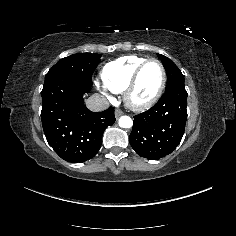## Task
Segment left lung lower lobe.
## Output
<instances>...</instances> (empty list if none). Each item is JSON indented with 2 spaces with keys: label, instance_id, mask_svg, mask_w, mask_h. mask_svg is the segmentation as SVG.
Segmentation results:
<instances>
[{
  "label": "left lung lower lobe",
  "instance_id": "1",
  "mask_svg": "<svg viewBox=\"0 0 236 236\" xmlns=\"http://www.w3.org/2000/svg\"><path fill=\"white\" fill-rule=\"evenodd\" d=\"M187 92L184 85L166 89L148 111L134 116L129 143L139 156L160 159L180 143L187 120Z\"/></svg>",
  "mask_w": 236,
  "mask_h": 236
}]
</instances>
